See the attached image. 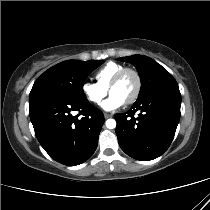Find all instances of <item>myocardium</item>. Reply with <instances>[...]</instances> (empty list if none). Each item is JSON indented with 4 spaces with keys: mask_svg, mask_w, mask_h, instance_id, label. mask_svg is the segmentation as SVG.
<instances>
[{
    "mask_svg": "<svg viewBox=\"0 0 210 210\" xmlns=\"http://www.w3.org/2000/svg\"><path fill=\"white\" fill-rule=\"evenodd\" d=\"M128 73L133 74L137 81V86H136V90H135L134 94L125 102L126 105H131L138 100V98L141 94V91H142V87H143L142 77L137 70H135L133 68H123L122 70H120L114 76L113 80L111 81V83L108 87V91L110 93L111 89L114 88L116 85H118L121 82V80L123 79V77Z\"/></svg>",
    "mask_w": 210,
    "mask_h": 210,
    "instance_id": "obj_1",
    "label": "myocardium"
}]
</instances>
